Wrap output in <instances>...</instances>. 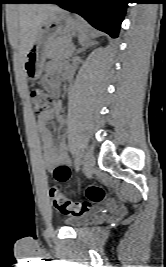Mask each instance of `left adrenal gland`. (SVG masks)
I'll list each match as a JSON object with an SVG mask.
<instances>
[{"label":"left adrenal gland","mask_w":166,"mask_h":267,"mask_svg":"<svg viewBox=\"0 0 166 267\" xmlns=\"http://www.w3.org/2000/svg\"><path fill=\"white\" fill-rule=\"evenodd\" d=\"M82 46H83L82 48L77 50V53L85 51L87 49V47H88V44H83Z\"/></svg>","instance_id":"1"}]
</instances>
